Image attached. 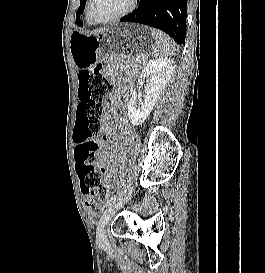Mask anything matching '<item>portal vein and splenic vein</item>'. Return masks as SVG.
Returning a JSON list of instances; mask_svg holds the SVG:
<instances>
[{
    "label": "portal vein and splenic vein",
    "instance_id": "1",
    "mask_svg": "<svg viewBox=\"0 0 265 273\" xmlns=\"http://www.w3.org/2000/svg\"><path fill=\"white\" fill-rule=\"evenodd\" d=\"M148 60V57L144 56V61H147Z\"/></svg>",
    "mask_w": 265,
    "mask_h": 273
}]
</instances>
